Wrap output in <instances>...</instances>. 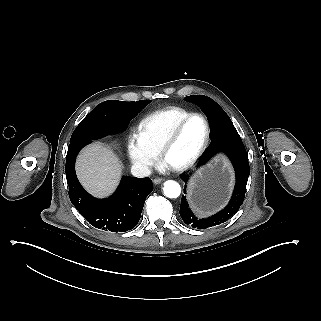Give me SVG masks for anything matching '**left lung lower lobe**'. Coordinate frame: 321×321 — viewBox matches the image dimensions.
<instances>
[{"label": "left lung lower lobe", "instance_id": "0a47b994", "mask_svg": "<svg viewBox=\"0 0 321 321\" xmlns=\"http://www.w3.org/2000/svg\"><path fill=\"white\" fill-rule=\"evenodd\" d=\"M207 118L211 128L222 120L221 115L217 112L208 113ZM211 140L212 144L200 158L198 166L205 164L215 154L223 152L229 157L234 166L236 185L228 205L220 212L208 218L196 217L190 210L185 196H182L180 216L187 225H191L198 229H207L224 223L238 211L244 201L250 172L248 154L235 128L211 133ZM188 177L189 175H181V179L185 183L187 182ZM184 193H186V188H184Z\"/></svg>", "mask_w": 321, "mask_h": 321}]
</instances>
